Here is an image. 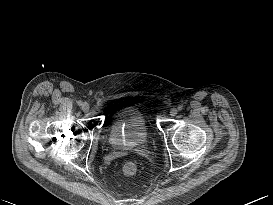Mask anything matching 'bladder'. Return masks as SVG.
Masks as SVG:
<instances>
[{
    "instance_id": "31cf9c89",
    "label": "bladder",
    "mask_w": 273,
    "mask_h": 205,
    "mask_svg": "<svg viewBox=\"0 0 273 205\" xmlns=\"http://www.w3.org/2000/svg\"><path fill=\"white\" fill-rule=\"evenodd\" d=\"M150 137L149 122L137 105H124L110 117L108 143L117 150H131L144 145Z\"/></svg>"
}]
</instances>
